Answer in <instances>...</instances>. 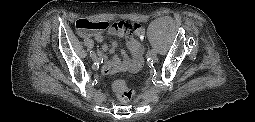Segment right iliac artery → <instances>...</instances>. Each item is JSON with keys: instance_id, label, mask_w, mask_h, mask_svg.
Instances as JSON below:
<instances>
[{"instance_id": "right-iliac-artery-1", "label": "right iliac artery", "mask_w": 255, "mask_h": 122, "mask_svg": "<svg viewBox=\"0 0 255 122\" xmlns=\"http://www.w3.org/2000/svg\"><path fill=\"white\" fill-rule=\"evenodd\" d=\"M93 55H95L94 51H90V56L92 57Z\"/></svg>"}]
</instances>
